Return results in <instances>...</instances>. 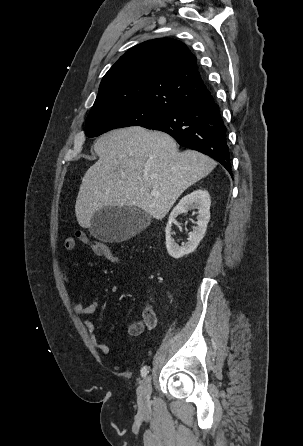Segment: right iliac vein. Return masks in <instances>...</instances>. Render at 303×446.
Returning <instances> with one entry per match:
<instances>
[{
	"label": "right iliac vein",
	"instance_id": "1",
	"mask_svg": "<svg viewBox=\"0 0 303 446\" xmlns=\"http://www.w3.org/2000/svg\"><path fill=\"white\" fill-rule=\"evenodd\" d=\"M151 391V377L146 376L137 391L138 405L142 411H147L149 408Z\"/></svg>",
	"mask_w": 303,
	"mask_h": 446
}]
</instances>
